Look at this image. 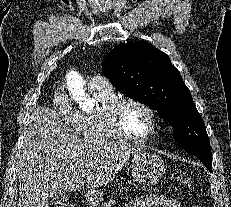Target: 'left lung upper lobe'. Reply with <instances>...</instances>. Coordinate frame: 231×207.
Here are the masks:
<instances>
[{
	"label": "left lung upper lobe",
	"mask_w": 231,
	"mask_h": 207,
	"mask_svg": "<svg viewBox=\"0 0 231 207\" xmlns=\"http://www.w3.org/2000/svg\"><path fill=\"white\" fill-rule=\"evenodd\" d=\"M102 72L121 93L157 110L179 146L212 161L204 121L168 55L145 41L121 44L105 56Z\"/></svg>",
	"instance_id": "left-lung-upper-lobe-1"
}]
</instances>
